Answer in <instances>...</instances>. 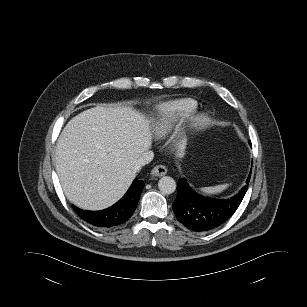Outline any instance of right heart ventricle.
<instances>
[{
	"mask_svg": "<svg viewBox=\"0 0 307 307\" xmlns=\"http://www.w3.org/2000/svg\"><path fill=\"white\" fill-rule=\"evenodd\" d=\"M197 108V103L191 98H182L163 103L158 106V119L154 132L158 137H165L175 127L180 125Z\"/></svg>",
	"mask_w": 307,
	"mask_h": 307,
	"instance_id": "1",
	"label": "right heart ventricle"
}]
</instances>
